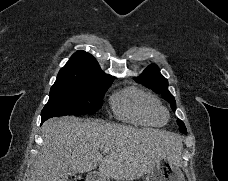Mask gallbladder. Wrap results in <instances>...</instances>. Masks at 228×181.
Here are the masks:
<instances>
[{"instance_id":"obj_1","label":"gallbladder","mask_w":228,"mask_h":181,"mask_svg":"<svg viewBox=\"0 0 228 181\" xmlns=\"http://www.w3.org/2000/svg\"><path fill=\"white\" fill-rule=\"evenodd\" d=\"M71 175H75L76 171H70Z\"/></svg>"}]
</instances>
